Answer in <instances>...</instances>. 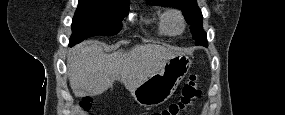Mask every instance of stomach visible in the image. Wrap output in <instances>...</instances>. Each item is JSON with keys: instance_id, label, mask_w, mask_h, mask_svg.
<instances>
[{"instance_id": "0dacf381", "label": "stomach", "mask_w": 285, "mask_h": 115, "mask_svg": "<svg viewBox=\"0 0 285 115\" xmlns=\"http://www.w3.org/2000/svg\"><path fill=\"white\" fill-rule=\"evenodd\" d=\"M191 65L189 57L179 54L169 59L160 72L141 83L131 95L144 107H155L166 102L186 76Z\"/></svg>"}]
</instances>
